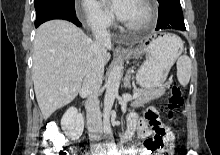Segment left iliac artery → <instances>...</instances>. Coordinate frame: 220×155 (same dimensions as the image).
<instances>
[{"mask_svg": "<svg viewBox=\"0 0 220 155\" xmlns=\"http://www.w3.org/2000/svg\"><path fill=\"white\" fill-rule=\"evenodd\" d=\"M112 155H120V153L116 148H113Z\"/></svg>", "mask_w": 220, "mask_h": 155, "instance_id": "1", "label": "left iliac artery"}]
</instances>
